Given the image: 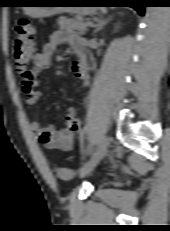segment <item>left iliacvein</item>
<instances>
[{
	"label": "left iliac vein",
	"instance_id": "1",
	"mask_svg": "<svg viewBox=\"0 0 170 231\" xmlns=\"http://www.w3.org/2000/svg\"><path fill=\"white\" fill-rule=\"evenodd\" d=\"M110 143H111V138L110 137H108V136L103 137V139L101 140L96 152L92 156L91 160L88 161L85 165H83L80 168L79 173H80L81 177L87 176L88 174H90L92 172V170L97 166L99 161L107 153L108 148L110 146Z\"/></svg>",
	"mask_w": 170,
	"mask_h": 231
}]
</instances>
